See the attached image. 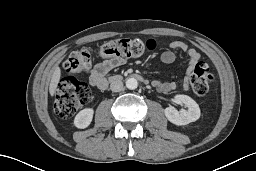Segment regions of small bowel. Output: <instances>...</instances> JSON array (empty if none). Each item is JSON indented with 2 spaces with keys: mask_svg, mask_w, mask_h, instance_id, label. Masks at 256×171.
<instances>
[{
  "mask_svg": "<svg viewBox=\"0 0 256 171\" xmlns=\"http://www.w3.org/2000/svg\"><path fill=\"white\" fill-rule=\"evenodd\" d=\"M173 50H181L187 52L189 56V68L188 73L199 62L201 56L200 53L194 48H188L187 44L182 41H173L170 43V50L164 51L160 56V61L164 64H171L175 61L176 55ZM123 59H107L97 63L90 73V84L98 89H105L108 85L106 75L114 68L124 64ZM187 78L183 83V88H187ZM153 86L163 92H169L176 89V84L173 82H160L154 81Z\"/></svg>",
  "mask_w": 256,
  "mask_h": 171,
  "instance_id": "1",
  "label": "small bowel"
}]
</instances>
